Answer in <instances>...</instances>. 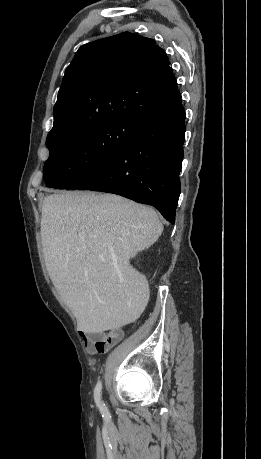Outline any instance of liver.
<instances>
[{
    "label": "liver",
    "instance_id": "6515ba94",
    "mask_svg": "<svg viewBox=\"0 0 261 459\" xmlns=\"http://www.w3.org/2000/svg\"><path fill=\"white\" fill-rule=\"evenodd\" d=\"M162 231L154 209L115 194L74 191L44 198L45 263L79 329L102 333L131 321L143 278L130 259Z\"/></svg>",
    "mask_w": 261,
    "mask_h": 459
}]
</instances>
